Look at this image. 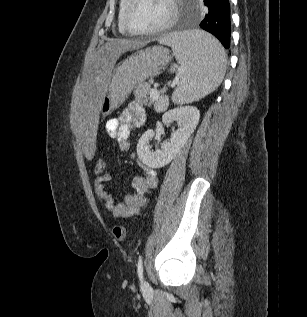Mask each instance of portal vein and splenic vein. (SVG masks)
I'll list each match as a JSON object with an SVG mask.
<instances>
[{
	"label": "portal vein and splenic vein",
	"instance_id": "obj_1",
	"mask_svg": "<svg viewBox=\"0 0 307 317\" xmlns=\"http://www.w3.org/2000/svg\"><path fill=\"white\" fill-rule=\"evenodd\" d=\"M178 83V81H174L171 85V87H174L176 84ZM160 97V94H159V91L158 89H152L151 92H150V98L153 100V101H157Z\"/></svg>",
	"mask_w": 307,
	"mask_h": 317
}]
</instances>
